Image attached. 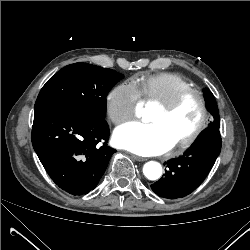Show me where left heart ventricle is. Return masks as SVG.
<instances>
[{
    "instance_id": "obj_1",
    "label": "left heart ventricle",
    "mask_w": 250,
    "mask_h": 250,
    "mask_svg": "<svg viewBox=\"0 0 250 250\" xmlns=\"http://www.w3.org/2000/svg\"><path fill=\"white\" fill-rule=\"evenodd\" d=\"M200 115L199 102L196 97L191 96L184 100L171 114H165L160 107H157L148 121L159 125L175 144L195 129Z\"/></svg>"
}]
</instances>
